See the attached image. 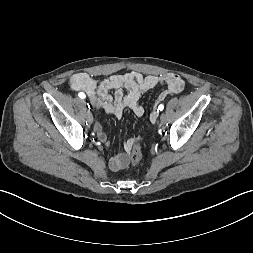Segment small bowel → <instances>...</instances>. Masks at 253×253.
Listing matches in <instances>:
<instances>
[{"label": "small bowel", "mask_w": 253, "mask_h": 253, "mask_svg": "<svg viewBox=\"0 0 253 253\" xmlns=\"http://www.w3.org/2000/svg\"><path fill=\"white\" fill-rule=\"evenodd\" d=\"M69 87L73 91L85 92L93 107L102 109L104 112L120 118L125 109H130L137 117L144 115V108L139 101L144 93L159 84L166 85V89L159 95L158 101L164 99L168 94H179L184 90V80L175 73H166L160 76L143 75L136 71L124 74L111 75L101 82L85 72L73 74L69 81ZM114 91L110 94V91ZM124 90L126 92H124ZM158 111L154 108L149 116L155 123ZM95 130L98 139L109 146L111 141L103 126L97 122ZM136 140L128 137L124 141L125 153L118 154L110 159L109 166L113 171H119L128 163V153Z\"/></svg>", "instance_id": "1"}]
</instances>
